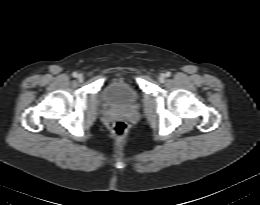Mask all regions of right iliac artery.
<instances>
[{
	"mask_svg": "<svg viewBox=\"0 0 260 205\" xmlns=\"http://www.w3.org/2000/svg\"><path fill=\"white\" fill-rule=\"evenodd\" d=\"M72 76H73V77H77L78 74H77L76 72H73V73H72Z\"/></svg>",
	"mask_w": 260,
	"mask_h": 205,
	"instance_id": "82829eb1",
	"label": "right iliac artery"
}]
</instances>
